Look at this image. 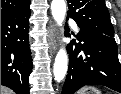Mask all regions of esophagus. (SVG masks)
I'll return each mask as SVG.
<instances>
[{
  "instance_id": "esophagus-1",
  "label": "esophagus",
  "mask_w": 121,
  "mask_h": 94,
  "mask_svg": "<svg viewBox=\"0 0 121 94\" xmlns=\"http://www.w3.org/2000/svg\"><path fill=\"white\" fill-rule=\"evenodd\" d=\"M48 41L51 47L52 52H56L58 48V40H57V28L56 25H51L48 29Z\"/></svg>"
}]
</instances>
